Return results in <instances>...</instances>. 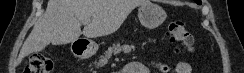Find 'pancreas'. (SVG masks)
Instances as JSON below:
<instances>
[{
	"instance_id": "pancreas-1",
	"label": "pancreas",
	"mask_w": 244,
	"mask_h": 73,
	"mask_svg": "<svg viewBox=\"0 0 244 73\" xmlns=\"http://www.w3.org/2000/svg\"><path fill=\"white\" fill-rule=\"evenodd\" d=\"M135 47L133 45H120V43L113 44L112 47H109L107 51H105L104 55H101L99 57L98 65H104L106 64L107 60L110 59L112 54H119L122 51L124 53H130L131 51H134Z\"/></svg>"
}]
</instances>
